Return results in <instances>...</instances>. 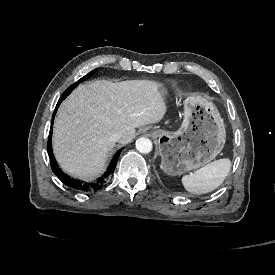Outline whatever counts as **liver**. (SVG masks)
Here are the masks:
<instances>
[{
    "label": "liver",
    "instance_id": "1",
    "mask_svg": "<svg viewBox=\"0 0 275 275\" xmlns=\"http://www.w3.org/2000/svg\"><path fill=\"white\" fill-rule=\"evenodd\" d=\"M161 84L150 80H106L79 85L62 102L53 129V153L62 170L91 181L106 170L107 153L135 137V128L158 123L166 113Z\"/></svg>",
    "mask_w": 275,
    "mask_h": 275
}]
</instances>
